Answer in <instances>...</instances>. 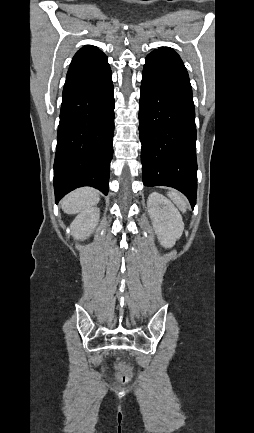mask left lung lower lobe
Here are the masks:
<instances>
[{"mask_svg":"<svg viewBox=\"0 0 254 433\" xmlns=\"http://www.w3.org/2000/svg\"><path fill=\"white\" fill-rule=\"evenodd\" d=\"M139 103L144 186H169L196 203V126L192 88L180 58L146 57Z\"/></svg>","mask_w":254,"mask_h":433,"instance_id":"obj_1","label":"left lung lower lobe"}]
</instances>
